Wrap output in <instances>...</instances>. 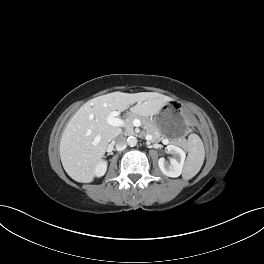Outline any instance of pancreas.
<instances>
[{"instance_id": "pancreas-1", "label": "pancreas", "mask_w": 264, "mask_h": 264, "mask_svg": "<svg viewBox=\"0 0 264 264\" xmlns=\"http://www.w3.org/2000/svg\"><path fill=\"white\" fill-rule=\"evenodd\" d=\"M134 119H139L141 121V123L144 126L145 133L151 134L155 141H160L163 139V137H161V133H160L159 128L154 123H152L148 119H146V118H144V117H142L136 113L131 114L128 117V119L126 120V123L129 126L128 132H132V130H133V120Z\"/></svg>"}]
</instances>
